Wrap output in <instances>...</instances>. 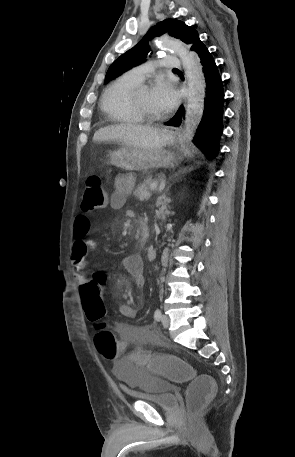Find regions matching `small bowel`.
<instances>
[{
	"instance_id": "1",
	"label": "small bowel",
	"mask_w": 295,
	"mask_h": 457,
	"mask_svg": "<svg viewBox=\"0 0 295 457\" xmlns=\"http://www.w3.org/2000/svg\"><path fill=\"white\" fill-rule=\"evenodd\" d=\"M134 186V181L129 176H119L115 180V188L110 195V206L113 209H121L125 202L126 197L130 194ZM90 221L85 215H78L74 221V237L75 242L72 250V269L76 282L83 287L88 280V277L83 274L86 268V256L88 252L95 247V241L89 236ZM122 265L127 272L134 278L136 285L143 288L146 284L143 275V261L139 255H130L121 260ZM119 313L129 319L136 317V310L129 304H121L119 306ZM155 326H136L126 323H118L117 330L123 336L120 341L125 342V352L130 344L139 340H156L154 333ZM129 353L126 354L128 356ZM104 356V355H103Z\"/></svg>"
}]
</instances>
